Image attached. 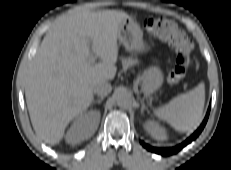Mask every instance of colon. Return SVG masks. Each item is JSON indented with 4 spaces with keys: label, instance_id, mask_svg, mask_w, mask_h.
<instances>
[{
    "label": "colon",
    "instance_id": "5ec220e1",
    "mask_svg": "<svg viewBox=\"0 0 231 170\" xmlns=\"http://www.w3.org/2000/svg\"><path fill=\"white\" fill-rule=\"evenodd\" d=\"M143 27L148 33L167 42L177 52L176 65L168 74L167 83L170 86L178 85L190 63V41L173 22L164 18H146Z\"/></svg>",
    "mask_w": 231,
    "mask_h": 170
}]
</instances>
